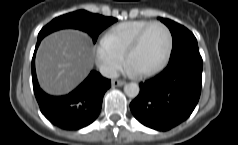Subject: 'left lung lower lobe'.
<instances>
[{"label": "left lung lower lobe", "mask_w": 238, "mask_h": 145, "mask_svg": "<svg viewBox=\"0 0 238 145\" xmlns=\"http://www.w3.org/2000/svg\"><path fill=\"white\" fill-rule=\"evenodd\" d=\"M202 85V57L198 49L170 59L155 77L140 83L139 95L130 103L143 125L167 131L185 121L195 109Z\"/></svg>", "instance_id": "obj_1"}]
</instances>
